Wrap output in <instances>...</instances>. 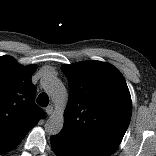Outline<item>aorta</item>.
Masks as SVG:
<instances>
[{
  "label": "aorta",
  "instance_id": "1",
  "mask_svg": "<svg viewBox=\"0 0 156 156\" xmlns=\"http://www.w3.org/2000/svg\"><path fill=\"white\" fill-rule=\"evenodd\" d=\"M41 83L55 106L54 112L45 123V131L49 135H57L64 125V111L68 102V93L65 86L55 77H43Z\"/></svg>",
  "mask_w": 156,
  "mask_h": 156
}]
</instances>
